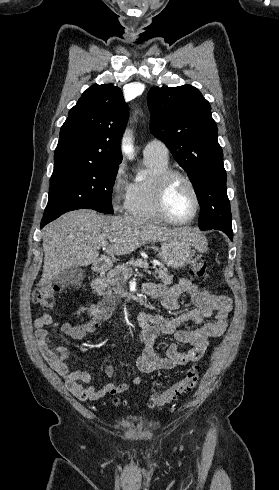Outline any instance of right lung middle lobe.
I'll return each instance as SVG.
<instances>
[{"mask_svg": "<svg viewBox=\"0 0 279 490\" xmlns=\"http://www.w3.org/2000/svg\"><path fill=\"white\" fill-rule=\"evenodd\" d=\"M117 162H82L54 165L49 200L42 222H51L61 214L80 208L113 213L112 187Z\"/></svg>", "mask_w": 279, "mask_h": 490, "instance_id": "obj_1", "label": "right lung middle lobe"}]
</instances>
